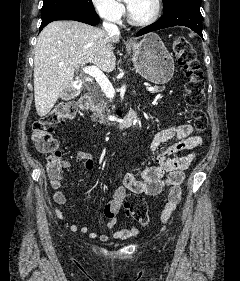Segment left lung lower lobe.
Masks as SVG:
<instances>
[{"mask_svg":"<svg viewBox=\"0 0 240 281\" xmlns=\"http://www.w3.org/2000/svg\"><path fill=\"white\" fill-rule=\"evenodd\" d=\"M200 3L201 1L198 0H180L174 3L164 11V15L161 18L152 25L141 29L136 36H141L158 29L182 25L191 28L203 37Z\"/></svg>","mask_w":240,"mask_h":281,"instance_id":"obj_1","label":"left lung lower lobe"}]
</instances>
